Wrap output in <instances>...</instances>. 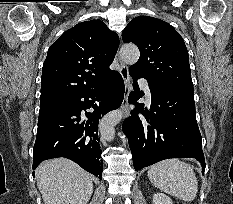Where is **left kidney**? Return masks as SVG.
Returning a JSON list of instances; mask_svg holds the SVG:
<instances>
[{
    "label": "left kidney",
    "instance_id": "5707ae66",
    "mask_svg": "<svg viewBox=\"0 0 233 204\" xmlns=\"http://www.w3.org/2000/svg\"><path fill=\"white\" fill-rule=\"evenodd\" d=\"M153 204H173V202L164 193H156L153 195Z\"/></svg>",
    "mask_w": 233,
    "mask_h": 204
}]
</instances>
